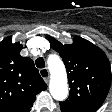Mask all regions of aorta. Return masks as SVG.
<instances>
[{
  "label": "aorta",
  "mask_w": 112,
  "mask_h": 112,
  "mask_svg": "<svg viewBox=\"0 0 112 112\" xmlns=\"http://www.w3.org/2000/svg\"><path fill=\"white\" fill-rule=\"evenodd\" d=\"M48 66L51 74L49 90L55 100L63 101L68 96L67 73L65 66L57 55H50Z\"/></svg>",
  "instance_id": "1"
}]
</instances>
